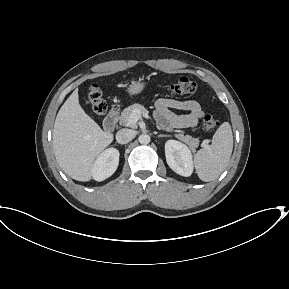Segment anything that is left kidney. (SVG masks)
I'll list each match as a JSON object with an SVG mask.
<instances>
[{"mask_svg": "<svg viewBox=\"0 0 289 289\" xmlns=\"http://www.w3.org/2000/svg\"><path fill=\"white\" fill-rule=\"evenodd\" d=\"M165 156L169 167L177 174L188 177L193 172L192 152L185 144L177 140L165 143Z\"/></svg>", "mask_w": 289, "mask_h": 289, "instance_id": "left-kidney-1", "label": "left kidney"}]
</instances>
